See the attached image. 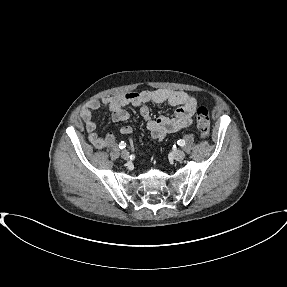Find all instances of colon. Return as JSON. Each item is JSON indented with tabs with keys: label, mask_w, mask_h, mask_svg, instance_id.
I'll return each mask as SVG.
<instances>
[{
	"label": "colon",
	"mask_w": 287,
	"mask_h": 287,
	"mask_svg": "<svg viewBox=\"0 0 287 287\" xmlns=\"http://www.w3.org/2000/svg\"><path fill=\"white\" fill-rule=\"evenodd\" d=\"M197 128L202 138H207L210 133V115L207 108L201 106L196 113Z\"/></svg>",
	"instance_id": "colon-1"
}]
</instances>
